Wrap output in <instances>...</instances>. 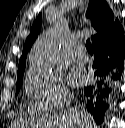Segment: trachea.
Here are the masks:
<instances>
[{"mask_svg":"<svg viewBox=\"0 0 125 128\" xmlns=\"http://www.w3.org/2000/svg\"><path fill=\"white\" fill-rule=\"evenodd\" d=\"M86 49H87L88 52H93L90 39H88V40L86 41Z\"/></svg>","mask_w":125,"mask_h":128,"instance_id":"trachea-1","label":"trachea"}]
</instances>
